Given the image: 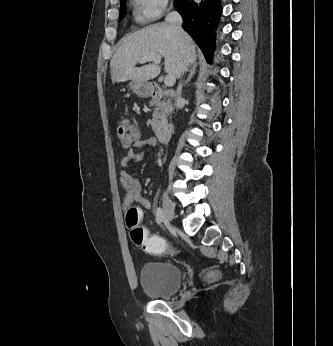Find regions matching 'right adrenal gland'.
Returning <instances> with one entry per match:
<instances>
[{
  "instance_id": "1",
  "label": "right adrenal gland",
  "mask_w": 333,
  "mask_h": 346,
  "mask_svg": "<svg viewBox=\"0 0 333 346\" xmlns=\"http://www.w3.org/2000/svg\"><path fill=\"white\" fill-rule=\"evenodd\" d=\"M197 63H194L190 69V73L188 78L186 79L184 86L187 85V83L190 81V79L193 77V75L196 73Z\"/></svg>"
}]
</instances>
